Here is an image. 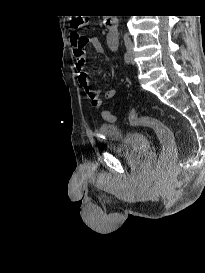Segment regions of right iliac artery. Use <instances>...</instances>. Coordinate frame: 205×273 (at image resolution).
I'll return each mask as SVG.
<instances>
[{
  "label": "right iliac artery",
  "instance_id": "right-iliac-artery-1",
  "mask_svg": "<svg viewBox=\"0 0 205 273\" xmlns=\"http://www.w3.org/2000/svg\"><path fill=\"white\" fill-rule=\"evenodd\" d=\"M124 61L126 64H130L131 58L128 52H125L124 54Z\"/></svg>",
  "mask_w": 205,
  "mask_h": 273
}]
</instances>
